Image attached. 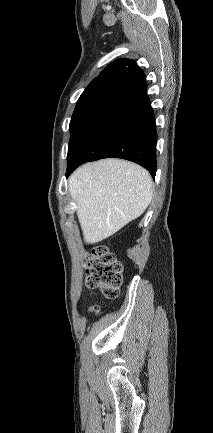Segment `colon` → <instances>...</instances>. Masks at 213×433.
I'll list each match as a JSON object with an SVG mask.
<instances>
[{"instance_id":"obj_1","label":"colon","mask_w":213,"mask_h":433,"mask_svg":"<svg viewBox=\"0 0 213 433\" xmlns=\"http://www.w3.org/2000/svg\"><path fill=\"white\" fill-rule=\"evenodd\" d=\"M86 274V285L89 288L100 290L110 299L118 296L123 279V265L108 247L99 245L91 250ZM91 311L96 313L98 308L92 307Z\"/></svg>"}]
</instances>
